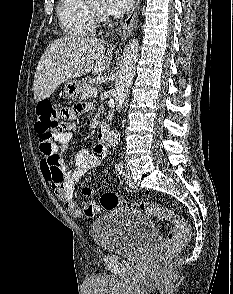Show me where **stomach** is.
Returning a JSON list of instances; mask_svg holds the SVG:
<instances>
[{
	"label": "stomach",
	"mask_w": 233,
	"mask_h": 294,
	"mask_svg": "<svg viewBox=\"0 0 233 294\" xmlns=\"http://www.w3.org/2000/svg\"><path fill=\"white\" fill-rule=\"evenodd\" d=\"M64 93L67 99L77 101L81 99L82 85L78 80H67L64 86Z\"/></svg>",
	"instance_id": "stomach-1"
}]
</instances>
